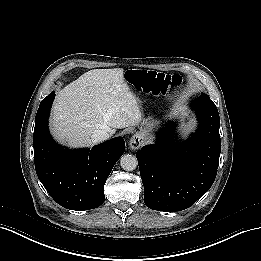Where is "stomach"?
I'll return each mask as SVG.
<instances>
[{"label":"stomach","instance_id":"obj_1","mask_svg":"<svg viewBox=\"0 0 261 261\" xmlns=\"http://www.w3.org/2000/svg\"><path fill=\"white\" fill-rule=\"evenodd\" d=\"M160 126V122L158 120L148 118L144 121L143 127L138 133L139 137L142 139L144 143H151L154 139V133Z\"/></svg>","mask_w":261,"mask_h":261}]
</instances>
